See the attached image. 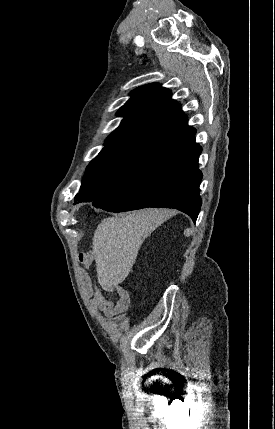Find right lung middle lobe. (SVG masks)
I'll return each instance as SVG.
<instances>
[{
    "label": "right lung middle lobe",
    "instance_id": "dd1d6c3e",
    "mask_svg": "<svg viewBox=\"0 0 275 429\" xmlns=\"http://www.w3.org/2000/svg\"><path fill=\"white\" fill-rule=\"evenodd\" d=\"M148 157L123 150L102 151L86 168L77 201L90 202L111 192L132 176Z\"/></svg>",
    "mask_w": 275,
    "mask_h": 429
}]
</instances>
